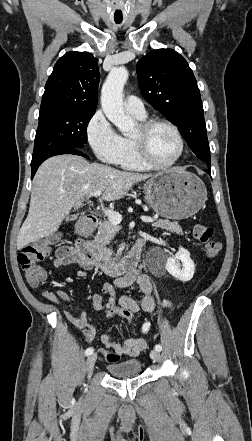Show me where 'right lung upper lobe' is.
<instances>
[{"instance_id":"1","label":"right lung upper lobe","mask_w":252,"mask_h":441,"mask_svg":"<svg viewBox=\"0 0 252 441\" xmlns=\"http://www.w3.org/2000/svg\"><path fill=\"white\" fill-rule=\"evenodd\" d=\"M98 59L88 52H68L55 64L40 109L94 110L98 101Z\"/></svg>"}]
</instances>
